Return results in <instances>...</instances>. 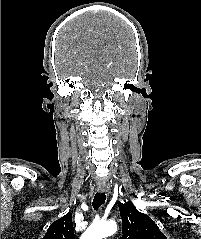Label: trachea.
<instances>
[{
    "mask_svg": "<svg viewBox=\"0 0 201 239\" xmlns=\"http://www.w3.org/2000/svg\"><path fill=\"white\" fill-rule=\"evenodd\" d=\"M105 200H106L105 194L97 192L92 202L94 210H98L101 207V205L105 203Z\"/></svg>",
    "mask_w": 201,
    "mask_h": 239,
    "instance_id": "obj_1",
    "label": "trachea"
}]
</instances>
